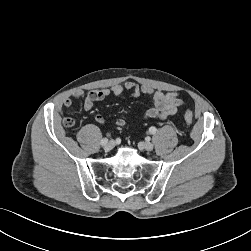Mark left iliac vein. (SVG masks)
Returning <instances> with one entry per match:
<instances>
[{
	"mask_svg": "<svg viewBox=\"0 0 251 251\" xmlns=\"http://www.w3.org/2000/svg\"><path fill=\"white\" fill-rule=\"evenodd\" d=\"M141 146L146 151H152L154 148V146L151 142H143V143H141Z\"/></svg>",
	"mask_w": 251,
	"mask_h": 251,
	"instance_id": "1",
	"label": "left iliac vein"
}]
</instances>
